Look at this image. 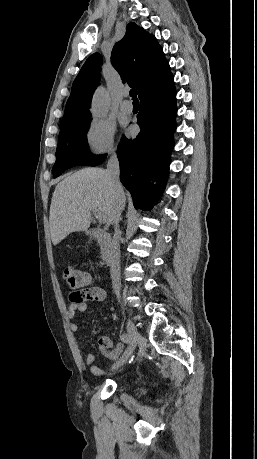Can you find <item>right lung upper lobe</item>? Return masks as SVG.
<instances>
[{
  "mask_svg": "<svg viewBox=\"0 0 257 459\" xmlns=\"http://www.w3.org/2000/svg\"><path fill=\"white\" fill-rule=\"evenodd\" d=\"M102 56L91 55L73 82L65 108L60 134L90 119L88 105L100 81ZM111 62L124 82L135 87L139 96L168 76L170 66L156 38L131 22L126 34L112 50Z\"/></svg>",
  "mask_w": 257,
  "mask_h": 459,
  "instance_id": "right-lung-upper-lobe-1",
  "label": "right lung upper lobe"
}]
</instances>
